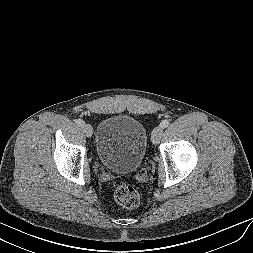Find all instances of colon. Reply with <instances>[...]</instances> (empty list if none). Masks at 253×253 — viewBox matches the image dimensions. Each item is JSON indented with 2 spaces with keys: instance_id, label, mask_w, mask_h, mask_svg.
I'll use <instances>...</instances> for the list:
<instances>
[{
  "instance_id": "obj_1",
  "label": "colon",
  "mask_w": 253,
  "mask_h": 253,
  "mask_svg": "<svg viewBox=\"0 0 253 253\" xmlns=\"http://www.w3.org/2000/svg\"><path fill=\"white\" fill-rule=\"evenodd\" d=\"M113 196L120 206L127 209H134L140 203L138 191L133 186L125 183L117 184L114 187Z\"/></svg>"
}]
</instances>
